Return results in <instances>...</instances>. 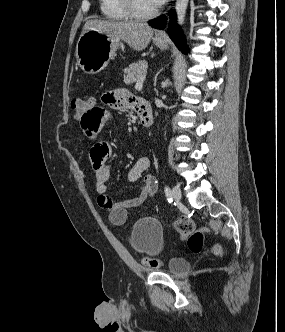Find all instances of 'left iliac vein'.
<instances>
[{"mask_svg": "<svg viewBox=\"0 0 285 332\" xmlns=\"http://www.w3.org/2000/svg\"><path fill=\"white\" fill-rule=\"evenodd\" d=\"M172 197H173L174 201H176L177 203L180 202L182 194H181V190L178 186H174L172 188Z\"/></svg>", "mask_w": 285, "mask_h": 332, "instance_id": "obj_1", "label": "left iliac vein"}]
</instances>
